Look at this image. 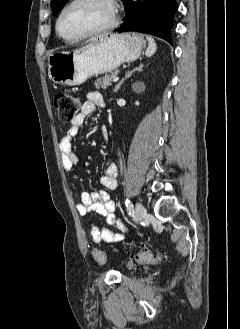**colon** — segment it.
<instances>
[{
    "instance_id": "obj_1",
    "label": "colon",
    "mask_w": 240,
    "mask_h": 329,
    "mask_svg": "<svg viewBox=\"0 0 240 329\" xmlns=\"http://www.w3.org/2000/svg\"><path fill=\"white\" fill-rule=\"evenodd\" d=\"M54 104L58 111L59 118L63 122H71L82 109L81 98L78 95L72 93L62 92L57 94L54 100ZM92 255L99 265H105L106 256L101 250L94 248L92 250ZM161 259L162 255L160 253L142 251L131 259L130 264H156Z\"/></svg>"
}]
</instances>
